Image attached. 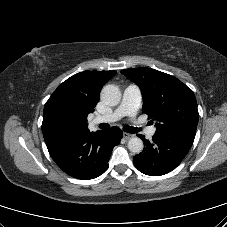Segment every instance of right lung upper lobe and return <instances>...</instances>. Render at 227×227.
Listing matches in <instances>:
<instances>
[{
    "instance_id": "cb5924a9",
    "label": "right lung upper lobe",
    "mask_w": 227,
    "mask_h": 227,
    "mask_svg": "<svg viewBox=\"0 0 227 227\" xmlns=\"http://www.w3.org/2000/svg\"><path fill=\"white\" fill-rule=\"evenodd\" d=\"M115 74L116 71H83L61 83L44 107L45 142L88 131L87 116L94 111L103 85Z\"/></svg>"
}]
</instances>
